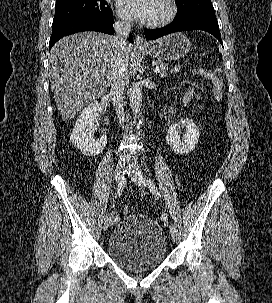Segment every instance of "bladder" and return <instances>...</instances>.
I'll return each instance as SVG.
<instances>
[{
	"label": "bladder",
	"instance_id": "31cf9c89",
	"mask_svg": "<svg viewBox=\"0 0 272 303\" xmlns=\"http://www.w3.org/2000/svg\"><path fill=\"white\" fill-rule=\"evenodd\" d=\"M106 251L119 266L140 272L162 264L167 257L168 244L157 221L146 215L129 214L113 229Z\"/></svg>",
	"mask_w": 272,
	"mask_h": 303
}]
</instances>
